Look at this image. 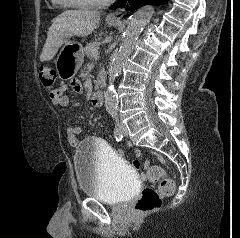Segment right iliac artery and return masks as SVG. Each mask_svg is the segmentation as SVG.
<instances>
[{
	"instance_id": "1",
	"label": "right iliac artery",
	"mask_w": 240,
	"mask_h": 238,
	"mask_svg": "<svg viewBox=\"0 0 240 238\" xmlns=\"http://www.w3.org/2000/svg\"><path fill=\"white\" fill-rule=\"evenodd\" d=\"M114 137L116 139V141H121L123 138V132L121 129V125L119 123V121L116 118V125H115V129H114Z\"/></svg>"
}]
</instances>
